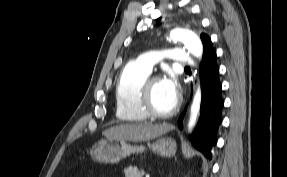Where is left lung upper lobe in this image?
I'll list each match as a JSON object with an SVG mask.
<instances>
[{
	"label": "left lung upper lobe",
	"instance_id": "left-lung-upper-lobe-1",
	"mask_svg": "<svg viewBox=\"0 0 287 177\" xmlns=\"http://www.w3.org/2000/svg\"><path fill=\"white\" fill-rule=\"evenodd\" d=\"M200 37H201V40L203 42V46H204L205 42L210 39L206 34H201Z\"/></svg>",
	"mask_w": 287,
	"mask_h": 177
}]
</instances>
